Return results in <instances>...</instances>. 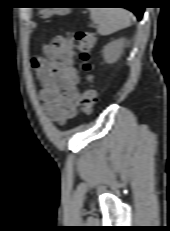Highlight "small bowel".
Wrapping results in <instances>:
<instances>
[{"label": "small bowel", "instance_id": "obj_1", "mask_svg": "<svg viewBox=\"0 0 170 231\" xmlns=\"http://www.w3.org/2000/svg\"><path fill=\"white\" fill-rule=\"evenodd\" d=\"M72 36H56L43 46V56L31 60L42 83L40 93L48 116L64 124L80 105L79 76L74 67Z\"/></svg>", "mask_w": 170, "mask_h": 231}]
</instances>
